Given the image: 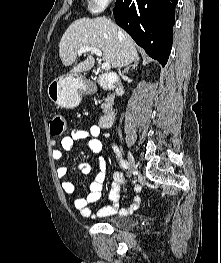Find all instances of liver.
I'll list each match as a JSON object with an SVG mask.
<instances>
[{
  "label": "liver",
  "instance_id": "6515ba94",
  "mask_svg": "<svg viewBox=\"0 0 221 263\" xmlns=\"http://www.w3.org/2000/svg\"><path fill=\"white\" fill-rule=\"evenodd\" d=\"M96 47L103 52V60L113 68L128 66L139 60L136 44L120 27L105 17L80 18L72 22L59 43V55L64 66L72 65L81 47ZM74 67L71 73L89 71L95 63L92 52Z\"/></svg>",
  "mask_w": 221,
  "mask_h": 263
}]
</instances>
